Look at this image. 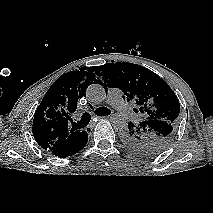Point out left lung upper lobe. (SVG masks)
Listing matches in <instances>:
<instances>
[{
    "mask_svg": "<svg viewBox=\"0 0 213 213\" xmlns=\"http://www.w3.org/2000/svg\"><path fill=\"white\" fill-rule=\"evenodd\" d=\"M95 71L104 81L100 84L120 88L127 101L137 106L133 110L138 120L128 123L122 132L125 145L145 156L169 147L177 133L180 112L179 100L169 85L154 72L133 63H107Z\"/></svg>",
    "mask_w": 213,
    "mask_h": 213,
    "instance_id": "1",
    "label": "left lung upper lobe"
}]
</instances>
